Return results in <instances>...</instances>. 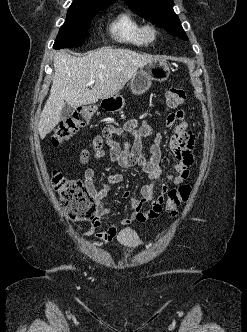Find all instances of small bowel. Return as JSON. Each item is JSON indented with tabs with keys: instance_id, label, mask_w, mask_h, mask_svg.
<instances>
[{
	"instance_id": "obj_1",
	"label": "small bowel",
	"mask_w": 247,
	"mask_h": 332,
	"mask_svg": "<svg viewBox=\"0 0 247 332\" xmlns=\"http://www.w3.org/2000/svg\"><path fill=\"white\" fill-rule=\"evenodd\" d=\"M183 118V111L170 114L167 118L169 123L180 121L176 125L174 134L170 139V149L177 160L174 166L175 173L168 176L177 187L181 186L188 177L189 168L193 163V149L196 140L195 134L188 129L187 123L182 121ZM115 135L123 137L131 135L133 141L125 142L121 145L113 139ZM103 139L107 144V149L103 146ZM145 141L149 142V157L143 154ZM161 142L162 136L159 133H155L146 121L132 119L127 121L122 128L106 127L102 137L97 136L94 139L92 153L89 154L87 151L82 153L81 159L86 165L84 170L85 187L96 205L93 224L82 233L83 236H93L99 243L105 244L118 236L120 225L126 226L137 221L143 222L159 218L163 205L166 202L167 193L170 190L164 185L160 188L159 193L156 194L157 182L162 174L160 166L162 157ZM106 156H108L110 163L118 164L122 168L140 167L146 173L148 180L141 188V197L130 200L131 213L119 222L111 224L107 231L95 233V229L102 226L103 218L110 213V208L104 202L109 184L119 183L123 180L122 174L113 173L107 175L102 187L97 188L95 186V171L90 167V164L100 162ZM129 196L130 193L128 191L122 193L123 198H129ZM148 202L151 205L147 210H144L143 206Z\"/></svg>"
}]
</instances>
